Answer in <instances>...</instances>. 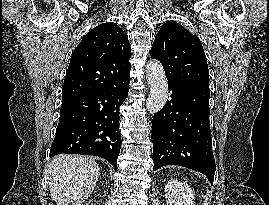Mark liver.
<instances>
[{
	"label": "liver",
	"instance_id": "6515ba94",
	"mask_svg": "<svg viewBox=\"0 0 269 205\" xmlns=\"http://www.w3.org/2000/svg\"><path fill=\"white\" fill-rule=\"evenodd\" d=\"M99 166L92 158L61 154L48 166V183L56 205H83L98 180Z\"/></svg>",
	"mask_w": 269,
	"mask_h": 205
}]
</instances>
